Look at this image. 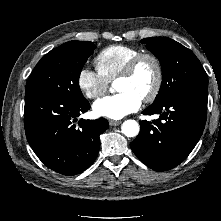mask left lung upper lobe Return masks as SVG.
Wrapping results in <instances>:
<instances>
[{
	"instance_id": "5c2ea615",
	"label": "left lung upper lobe",
	"mask_w": 221,
	"mask_h": 221,
	"mask_svg": "<svg viewBox=\"0 0 221 221\" xmlns=\"http://www.w3.org/2000/svg\"><path fill=\"white\" fill-rule=\"evenodd\" d=\"M160 61L163 80L152 105H157L174 94L192 87H208L207 74L188 48L167 37L141 40Z\"/></svg>"
}]
</instances>
